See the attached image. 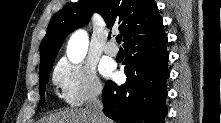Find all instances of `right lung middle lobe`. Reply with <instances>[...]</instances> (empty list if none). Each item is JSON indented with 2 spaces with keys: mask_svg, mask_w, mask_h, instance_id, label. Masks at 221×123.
<instances>
[{
  "mask_svg": "<svg viewBox=\"0 0 221 123\" xmlns=\"http://www.w3.org/2000/svg\"><path fill=\"white\" fill-rule=\"evenodd\" d=\"M53 62L54 61H52L48 66H46L44 69H41L39 71V78H40L39 86H40V94H41L40 104H43V102H44V93H45V89H46L45 85L48 82V78H49L50 71L53 66Z\"/></svg>",
  "mask_w": 221,
  "mask_h": 123,
  "instance_id": "right-lung-middle-lobe-1",
  "label": "right lung middle lobe"
}]
</instances>
